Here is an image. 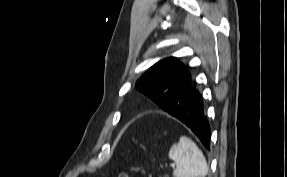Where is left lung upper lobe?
I'll list each match as a JSON object with an SVG mask.
<instances>
[{"label":"left lung upper lobe","instance_id":"1","mask_svg":"<svg viewBox=\"0 0 287 177\" xmlns=\"http://www.w3.org/2000/svg\"><path fill=\"white\" fill-rule=\"evenodd\" d=\"M191 76L177 58L169 57L157 62L136 83V88L150 97L163 110L169 112V99L191 87Z\"/></svg>","mask_w":287,"mask_h":177}]
</instances>
